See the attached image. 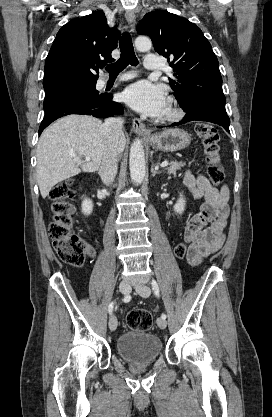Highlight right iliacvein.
<instances>
[{"label":"right iliac vein","mask_w":272,"mask_h":417,"mask_svg":"<svg viewBox=\"0 0 272 417\" xmlns=\"http://www.w3.org/2000/svg\"><path fill=\"white\" fill-rule=\"evenodd\" d=\"M119 290H120L121 293H123L125 295H128L131 291V287H130L129 282H127L125 280L121 281L120 284H119ZM108 324H109V328H110L111 331L116 330L118 322H117V318H116L115 315H112L110 317Z\"/></svg>","instance_id":"obj_1"}]
</instances>
